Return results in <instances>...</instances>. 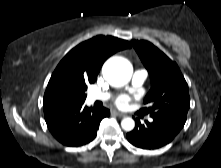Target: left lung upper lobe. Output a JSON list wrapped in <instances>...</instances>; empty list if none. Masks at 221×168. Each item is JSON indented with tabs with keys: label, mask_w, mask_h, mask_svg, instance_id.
Here are the masks:
<instances>
[{
	"label": "left lung upper lobe",
	"mask_w": 221,
	"mask_h": 168,
	"mask_svg": "<svg viewBox=\"0 0 221 168\" xmlns=\"http://www.w3.org/2000/svg\"><path fill=\"white\" fill-rule=\"evenodd\" d=\"M132 45L149 72L151 89L138 113L184 125L190 107L188 85L178 65L148 41Z\"/></svg>",
	"instance_id": "left-lung-upper-lobe-1"
}]
</instances>
